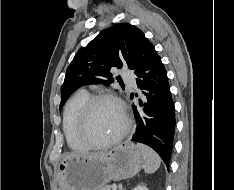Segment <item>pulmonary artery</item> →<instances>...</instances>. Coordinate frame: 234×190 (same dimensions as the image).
<instances>
[{
  "label": "pulmonary artery",
  "instance_id": "1",
  "mask_svg": "<svg viewBox=\"0 0 234 190\" xmlns=\"http://www.w3.org/2000/svg\"><path fill=\"white\" fill-rule=\"evenodd\" d=\"M122 76L127 80L128 84H129L131 87H135V82H134V80H133L130 76H128L127 73H126L125 71L122 73Z\"/></svg>",
  "mask_w": 234,
  "mask_h": 190
}]
</instances>
